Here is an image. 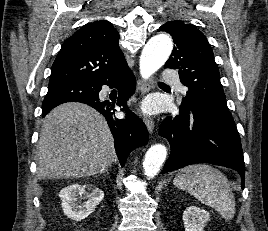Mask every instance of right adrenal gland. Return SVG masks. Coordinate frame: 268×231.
Wrapping results in <instances>:
<instances>
[{"instance_id": "right-adrenal-gland-1", "label": "right adrenal gland", "mask_w": 268, "mask_h": 231, "mask_svg": "<svg viewBox=\"0 0 268 231\" xmlns=\"http://www.w3.org/2000/svg\"><path fill=\"white\" fill-rule=\"evenodd\" d=\"M105 173H107V174H109V170H108V168L107 169H105V171H104Z\"/></svg>"}]
</instances>
